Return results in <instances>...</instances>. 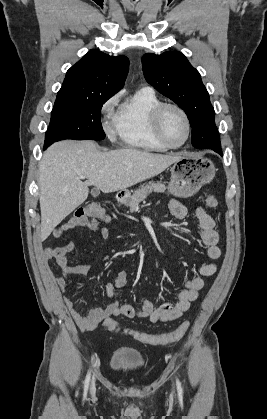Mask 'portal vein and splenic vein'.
Masks as SVG:
<instances>
[{
    "mask_svg": "<svg viewBox=\"0 0 267 419\" xmlns=\"http://www.w3.org/2000/svg\"><path fill=\"white\" fill-rule=\"evenodd\" d=\"M116 176L115 175H112V178H115ZM86 178V176H84V175H80V179H85Z\"/></svg>",
    "mask_w": 267,
    "mask_h": 419,
    "instance_id": "obj_1",
    "label": "portal vein and splenic vein"
}]
</instances>
